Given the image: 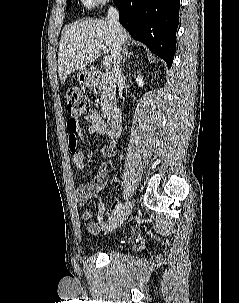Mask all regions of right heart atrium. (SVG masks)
<instances>
[{"instance_id": "1", "label": "right heart atrium", "mask_w": 239, "mask_h": 303, "mask_svg": "<svg viewBox=\"0 0 239 303\" xmlns=\"http://www.w3.org/2000/svg\"><path fill=\"white\" fill-rule=\"evenodd\" d=\"M108 1H110V0H81V3L83 6H85L87 8H92V7H96V6L105 4Z\"/></svg>"}]
</instances>
